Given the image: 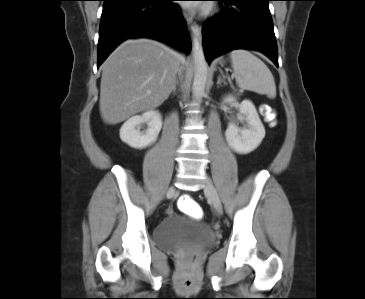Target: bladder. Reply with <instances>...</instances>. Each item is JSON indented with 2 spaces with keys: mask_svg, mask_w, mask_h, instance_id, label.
Instances as JSON below:
<instances>
[{
  "mask_svg": "<svg viewBox=\"0 0 365 299\" xmlns=\"http://www.w3.org/2000/svg\"><path fill=\"white\" fill-rule=\"evenodd\" d=\"M153 238L159 249L170 252L205 249L216 242L208 224L181 215L161 221L154 229Z\"/></svg>",
  "mask_w": 365,
  "mask_h": 299,
  "instance_id": "obj_1",
  "label": "bladder"
}]
</instances>
